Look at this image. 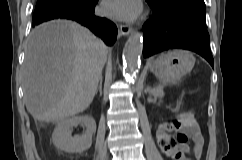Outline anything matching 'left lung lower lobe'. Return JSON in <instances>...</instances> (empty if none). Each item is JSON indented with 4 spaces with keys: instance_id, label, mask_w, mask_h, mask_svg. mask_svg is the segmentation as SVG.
<instances>
[{
    "instance_id": "0a47b994",
    "label": "left lung lower lobe",
    "mask_w": 242,
    "mask_h": 160,
    "mask_svg": "<svg viewBox=\"0 0 242 160\" xmlns=\"http://www.w3.org/2000/svg\"><path fill=\"white\" fill-rule=\"evenodd\" d=\"M148 4L153 10V15L143 25L144 57L164 50L180 48L200 54L214 67L205 14L194 12L173 14L155 7L150 2Z\"/></svg>"
}]
</instances>
